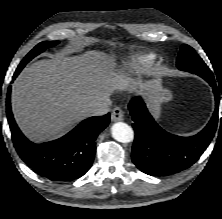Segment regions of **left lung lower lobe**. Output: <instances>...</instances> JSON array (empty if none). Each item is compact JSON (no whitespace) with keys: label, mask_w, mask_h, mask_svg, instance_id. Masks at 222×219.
Returning <instances> with one entry per match:
<instances>
[{"label":"left lung lower lobe","mask_w":222,"mask_h":219,"mask_svg":"<svg viewBox=\"0 0 222 219\" xmlns=\"http://www.w3.org/2000/svg\"><path fill=\"white\" fill-rule=\"evenodd\" d=\"M195 74L212 86L216 100L210 122L197 135L180 137L166 132L154 121L141 97L136 96L130 101L135 131L132 161L142 172L151 176H167L185 170L200 158L211 142L218 125L219 100L222 97L212 72Z\"/></svg>","instance_id":"1"}]
</instances>
